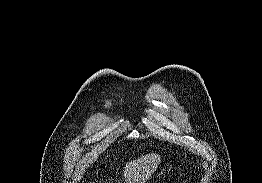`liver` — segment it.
Wrapping results in <instances>:
<instances>
[{
  "instance_id": "obj_1",
  "label": "liver",
  "mask_w": 262,
  "mask_h": 183,
  "mask_svg": "<svg viewBox=\"0 0 262 183\" xmlns=\"http://www.w3.org/2000/svg\"><path fill=\"white\" fill-rule=\"evenodd\" d=\"M160 160V155L152 153L128 162L124 168L126 183H145L156 171Z\"/></svg>"
}]
</instances>
